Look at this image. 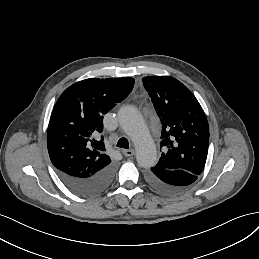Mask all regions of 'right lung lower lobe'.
Listing matches in <instances>:
<instances>
[{"label": "right lung lower lobe", "instance_id": "right-lung-lower-lobe-1", "mask_svg": "<svg viewBox=\"0 0 259 259\" xmlns=\"http://www.w3.org/2000/svg\"><path fill=\"white\" fill-rule=\"evenodd\" d=\"M114 173L115 166L113 163L89 177H75L57 170L62 182L70 190L80 195H95L103 192L110 186Z\"/></svg>", "mask_w": 259, "mask_h": 259}]
</instances>
